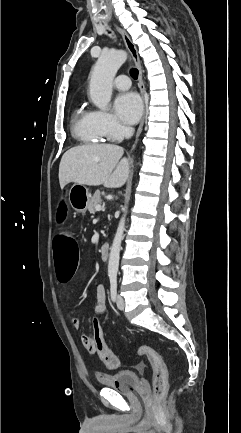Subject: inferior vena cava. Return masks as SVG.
<instances>
[{"label":"inferior vena cava","instance_id":"602c4592","mask_svg":"<svg viewBox=\"0 0 241 433\" xmlns=\"http://www.w3.org/2000/svg\"><path fill=\"white\" fill-rule=\"evenodd\" d=\"M134 133V129L132 127H125L124 128V135L126 138H130Z\"/></svg>","mask_w":241,"mask_h":433}]
</instances>
